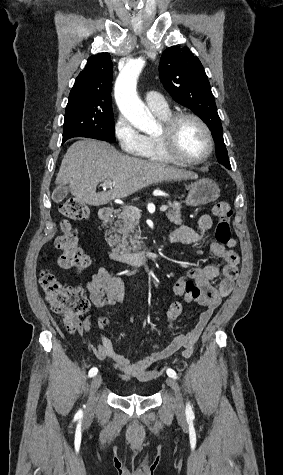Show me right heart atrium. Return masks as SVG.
I'll return each instance as SVG.
<instances>
[{"label":"right heart atrium","instance_id":"obj_1","mask_svg":"<svg viewBox=\"0 0 283 475\" xmlns=\"http://www.w3.org/2000/svg\"><path fill=\"white\" fill-rule=\"evenodd\" d=\"M112 130L118 141L121 155H138L139 158L145 155L146 137L137 131L123 115H117Z\"/></svg>","mask_w":283,"mask_h":475}]
</instances>
